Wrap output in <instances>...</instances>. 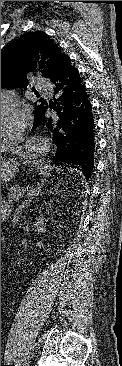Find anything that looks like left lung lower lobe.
<instances>
[{
  "label": "left lung lower lobe",
  "mask_w": 122,
  "mask_h": 366,
  "mask_svg": "<svg viewBox=\"0 0 122 366\" xmlns=\"http://www.w3.org/2000/svg\"><path fill=\"white\" fill-rule=\"evenodd\" d=\"M47 79L50 90L34 111L33 129L46 123L58 147L53 159L61 166L77 168L87 178L94 167L96 128L85 83L69 56ZM48 107L54 116L47 120Z\"/></svg>",
  "instance_id": "obj_1"
}]
</instances>
